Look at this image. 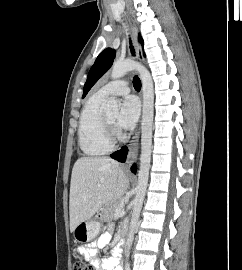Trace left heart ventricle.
<instances>
[{"label": "left heart ventricle", "instance_id": "b2bd125f", "mask_svg": "<svg viewBox=\"0 0 242 270\" xmlns=\"http://www.w3.org/2000/svg\"><path fill=\"white\" fill-rule=\"evenodd\" d=\"M117 113H112V114H108L107 118L116 125V121H117Z\"/></svg>", "mask_w": 242, "mask_h": 270}]
</instances>
